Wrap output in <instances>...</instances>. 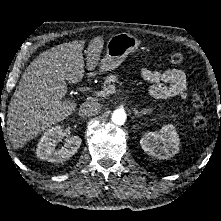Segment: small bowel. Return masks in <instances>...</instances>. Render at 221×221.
<instances>
[{"label":"small bowel","mask_w":221,"mask_h":221,"mask_svg":"<svg viewBox=\"0 0 221 221\" xmlns=\"http://www.w3.org/2000/svg\"><path fill=\"white\" fill-rule=\"evenodd\" d=\"M141 77L151 82L149 94L155 99H168L187 96V78L183 71L169 69L166 71H156L148 68L141 69Z\"/></svg>","instance_id":"1"}]
</instances>
